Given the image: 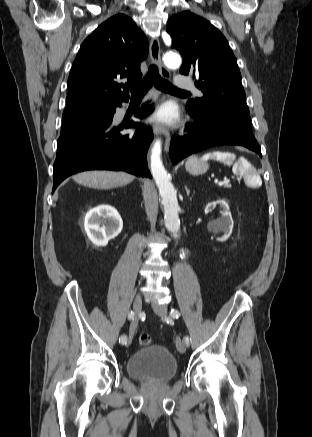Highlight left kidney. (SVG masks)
<instances>
[{
    "label": "left kidney",
    "instance_id": "left-kidney-1",
    "mask_svg": "<svg viewBox=\"0 0 312 437\" xmlns=\"http://www.w3.org/2000/svg\"><path fill=\"white\" fill-rule=\"evenodd\" d=\"M217 204L222 208L220 211L221 217L211 221L210 226L212 232L223 233L222 238L219 239L220 241H226L230 237L233 229V219L228 204L224 200H217L215 202L208 203L205 208V213L210 212L211 207Z\"/></svg>",
    "mask_w": 312,
    "mask_h": 437
}]
</instances>
